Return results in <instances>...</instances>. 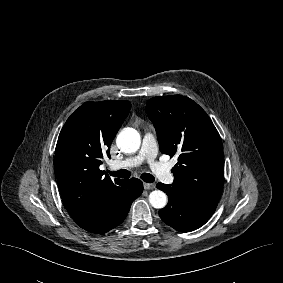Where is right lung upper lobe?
Listing matches in <instances>:
<instances>
[{
	"mask_svg": "<svg viewBox=\"0 0 283 283\" xmlns=\"http://www.w3.org/2000/svg\"><path fill=\"white\" fill-rule=\"evenodd\" d=\"M131 108L129 101L86 102L64 124L55 150V169L62 200L81 225L95 217L123 187L101 171L103 154Z\"/></svg>",
	"mask_w": 283,
	"mask_h": 283,
	"instance_id": "right-lung-upper-lobe-1",
	"label": "right lung upper lobe"
}]
</instances>
